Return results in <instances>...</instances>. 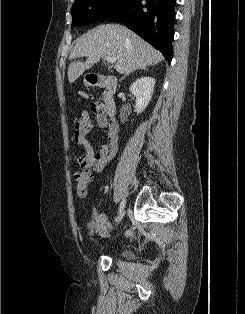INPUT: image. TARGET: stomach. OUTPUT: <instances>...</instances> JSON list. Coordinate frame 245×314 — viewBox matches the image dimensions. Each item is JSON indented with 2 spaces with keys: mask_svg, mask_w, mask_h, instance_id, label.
I'll use <instances>...</instances> for the list:
<instances>
[{
  "mask_svg": "<svg viewBox=\"0 0 245 314\" xmlns=\"http://www.w3.org/2000/svg\"><path fill=\"white\" fill-rule=\"evenodd\" d=\"M84 83L85 85H89V82L86 79H84Z\"/></svg>",
  "mask_w": 245,
  "mask_h": 314,
  "instance_id": "obj_1",
  "label": "stomach"
}]
</instances>
